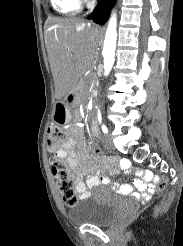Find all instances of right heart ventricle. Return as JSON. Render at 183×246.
<instances>
[{
    "mask_svg": "<svg viewBox=\"0 0 183 246\" xmlns=\"http://www.w3.org/2000/svg\"><path fill=\"white\" fill-rule=\"evenodd\" d=\"M52 8L61 15H74L79 12L78 0H50Z\"/></svg>",
    "mask_w": 183,
    "mask_h": 246,
    "instance_id": "e07e8e85",
    "label": "right heart ventricle"
}]
</instances>
